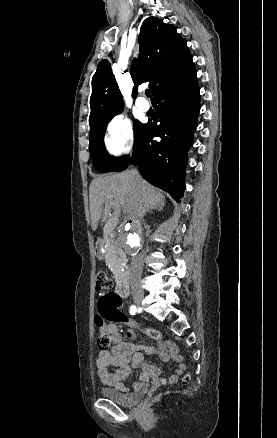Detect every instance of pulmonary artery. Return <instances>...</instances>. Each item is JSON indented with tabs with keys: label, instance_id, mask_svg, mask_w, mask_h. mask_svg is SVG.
Returning a JSON list of instances; mask_svg holds the SVG:
<instances>
[{
	"label": "pulmonary artery",
	"instance_id": "e3ab8cb5",
	"mask_svg": "<svg viewBox=\"0 0 277 438\" xmlns=\"http://www.w3.org/2000/svg\"><path fill=\"white\" fill-rule=\"evenodd\" d=\"M137 106L142 110V111H147L148 110V104L147 102L143 99V98H139L137 100Z\"/></svg>",
	"mask_w": 277,
	"mask_h": 438
}]
</instances>
